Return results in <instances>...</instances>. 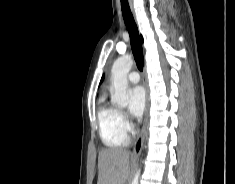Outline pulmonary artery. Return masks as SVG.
Here are the masks:
<instances>
[{"mask_svg":"<svg viewBox=\"0 0 235 184\" xmlns=\"http://www.w3.org/2000/svg\"><path fill=\"white\" fill-rule=\"evenodd\" d=\"M127 80L132 83V84H136L140 81V74L138 72H130L127 75Z\"/></svg>","mask_w":235,"mask_h":184,"instance_id":"e3ab8cb5","label":"pulmonary artery"}]
</instances>
